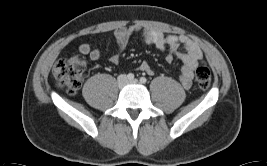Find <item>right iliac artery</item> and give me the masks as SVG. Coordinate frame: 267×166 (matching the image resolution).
Wrapping results in <instances>:
<instances>
[{
  "instance_id": "82829eb1",
  "label": "right iliac artery",
  "mask_w": 267,
  "mask_h": 166,
  "mask_svg": "<svg viewBox=\"0 0 267 166\" xmlns=\"http://www.w3.org/2000/svg\"><path fill=\"white\" fill-rule=\"evenodd\" d=\"M127 78H128L129 80H132V79H134V74H132V73H129V74L127 75Z\"/></svg>"
}]
</instances>
